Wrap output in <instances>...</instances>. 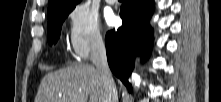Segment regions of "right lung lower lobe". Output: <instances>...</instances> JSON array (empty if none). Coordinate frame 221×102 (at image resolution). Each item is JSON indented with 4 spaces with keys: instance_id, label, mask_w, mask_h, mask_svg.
Returning a JSON list of instances; mask_svg holds the SVG:
<instances>
[{
    "instance_id": "1",
    "label": "right lung lower lobe",
    "mask_w": 221,
    "mask_h": 102,
    "mask_svg": "<svg viewBox=\"0 0 221 102\" xmlns=\"http://www.w3.org/2000/svg\"><path fill=\"white\" fill-rule=\"evenodd\" d=\"M153 0H126L120 10L123 24L105 37L107 59L112 72L120 78L129 91L128 77L137 54L146 60L151 50L153 30L150 18L154 11Z\"/></svg>"
}]
</instances>
